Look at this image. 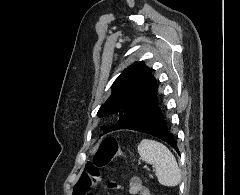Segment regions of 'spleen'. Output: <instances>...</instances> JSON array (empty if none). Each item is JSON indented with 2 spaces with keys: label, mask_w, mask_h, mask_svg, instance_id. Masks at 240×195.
I'll list each match as a JSON object with an SVG mask.
<instances>
[{
  "label": "spleen",
  "mask_w": 240,
  "mask_h": 195,
  "mask_svg": "<svg viewBox=\"0 0 240 195\" xmlns=\"http://www.w3.org/2000/svg\"><path fill=\"white\" fill-rule=\"evenodd\" d=\"M137 149L141 159L153 163L159 183L170 187L178 185L181 171L172 151L164 143L155 139H142Z\"/></svg>",
  "instance_id": "spleen-1"
}]
</instances>
